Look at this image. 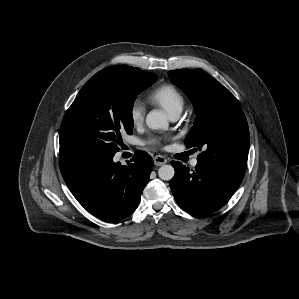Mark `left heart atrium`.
<instances>
[{
	"mask_svg": "<svg viewBox=\"0 0 299 299\" xmlns=\"http://www.w3.org/2000/svg\"><path fill=\"white\" fill-rule=\"evenodd\" d=\"M148 142L153 145H158L160 143V140L156 137H153V138H150Z\"/></svg>",
	"mask_w": 299,
	"mask_h": 299,
	"instance_id": "left-heart-atrium-1",
	"label": "left heart atrium"
}]
</instances>
